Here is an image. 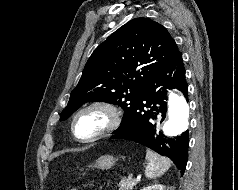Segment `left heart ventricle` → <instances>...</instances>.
I'll list each match as a JSON object with an SVG mask.
<instances>
[{
  "label": "left heart ventricle",
  "mask_w": 238,
  "mask_h": 190,
  "mask_svg": "<svg viewBox=\"0 0 238 190\" xmlns=\"http://www.w3.org/2000/svg\"><path fill=\"white\" fill-rule=\"evenodd\" d=\"M106 124V117L100 111L83 114L77 121L76 129L80 136H90L101 130Z\"/></svg>",
  "instance_id": "obj_1"
}]
</instances>
